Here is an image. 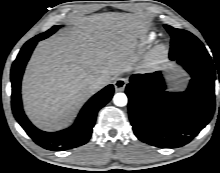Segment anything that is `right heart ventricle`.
I'll use <instances>...</instances> for the list:
<instances>
[{
	"label": "right heart ventricle",
	"instance_id": "right-heart-ventricle-1",
	"mask_svg": "<svg viewBox=\"0 0 220 173\" xmlns=\"http://www.w3.org/2000/svg\"><path fill=\"white\" fill-rule=\"evenodd\" d=\"M154 39H155V34L149 33L143 37L139 46L140 47L145 46V45L151 43Z\"/></svg>",
	"mask_w": 220,
	"mask_h": 173
}]
</instances>
